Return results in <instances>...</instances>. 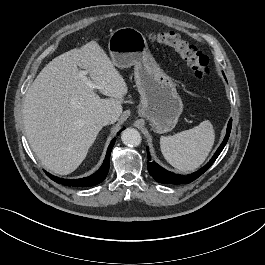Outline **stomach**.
<instances>
[{"mask_svg": "<svg viewBox=\"0 0 265 265\" xmlns=\"http://www.w3.org/2000/svg\"><path fill=\"white\" fill-rule=\"evenodd\" d=\"M108 50L114 66H134L141 96L139 116L149 120L156 133L171 131L183 111V103L174 82L150 53L144 35L132 27L119 28L110 35Z\"/></svg>", "mask_w": 265, "mask_h": 265, "instance_id": "stomach-1", "label": "stomach"}]
</instances>
